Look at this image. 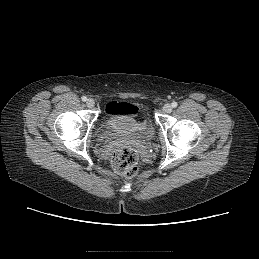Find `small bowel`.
Returning a JSON list of instances; mask_svg holds the SVG:
<instances>
[{
  "label": "small bowel",
  "instance_id": "1",
  "mask_svg": "<svg viewBox=\"0 0 259 259\" xmlns=\"http://www.w3.org/2000/svg\"><path fill=\"white\" fill-rule=\"evenodd\" d=\"M124 103H117V102H110L106 105V110L110 112H115V113H122L121 112V106Z\"/></svg>",
  "mask_w": 259,
  "mask_h": 259
}]
</instances>
